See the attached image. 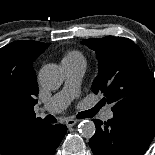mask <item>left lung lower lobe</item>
I'll list each match as a JSON object with an SVG mask.
<instances>
[{
  "mask_svg": "<svg viewBox=\"0 0 155 155\" xmlns=\"http://www.w3.org/2000/svg\"><path fill=\"white\" fill-rule=\"evenodd\" d=\"M93 121L96 132L89 146L94 155H143L155 135V108L113 112L107 122Z\"/></svg>",
  "mask_w": 155,
  "mask_h": 155,
  "instance_id": "obj_1",
  "label": "left lung lower lobe"
}]
</instances>
